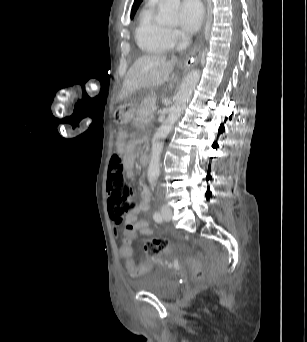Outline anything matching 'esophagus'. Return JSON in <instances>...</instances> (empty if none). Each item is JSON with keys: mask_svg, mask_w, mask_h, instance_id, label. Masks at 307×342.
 Instances as JSON below:
<instances>
[{"mask_svg": "<svg viewBox=\"0 0 307 342\" xmlns=\"http://www.w3.org/2000/svg\"><path fill=\"white\" fill-rule=\"evenodd\" d=\"M204 3H205V13L204 14H206L207 13V0H204ZM203 45H204V30H203V33L201 35L199 44L196 47H193L188 58L191 59L192 57H197V55L200 53Z\"/></svg>", "mask_w": 307, "mask_h": 342, "instance_id": "1", "label": "esophagus"}]
</instances>
